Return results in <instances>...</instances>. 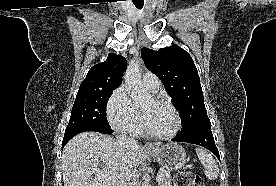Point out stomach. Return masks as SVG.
Returning <instances> with one entry per match:
<instances>
[{
	"label": "stomach",
	"mask_w": 276,
	"mask_h": 186,
	"mask_svg": "<svg viewBox=\"0 0 276 186\" xmlns=\"http://www.w3.org/2000/svg\"><path fill=\"white\" fill-rule=\"evenodd\" d=\"M148 153L166 170L177 171L186 163L184 148L177 143H168L148 150Z\"/></svg>",
	"instance_id": "0dacf381"
}]
</instances>
